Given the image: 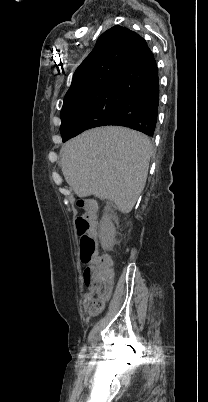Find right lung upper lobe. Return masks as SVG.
<instances>
[{
  "label": "right lung upper lobe",
  "mask_w": 208,
  "mask_h": 402,
  "mask_svg": "<svg viewBox=\"0 0 208 402\" xmlns=\"http://www.w3.org/2000/svg\"><path fill=\"white\" fill-rule=\"evenodd\" d=\"M145 40L135 32L114 26L97 40L92 52L76 69L65 96L92 88L117 77Z\"/></svg>",
  "instance_id": "1"
}]
</instances>
